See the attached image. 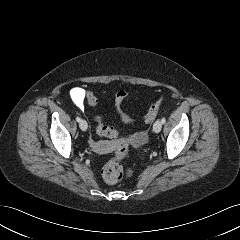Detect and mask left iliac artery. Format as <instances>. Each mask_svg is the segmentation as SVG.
Masks as SVG:
<instances>
[{"instance_id": "44dca946", "label": "left iliac artery", "mask_w": 240, "mask_h": 240, "mask_svg": "<svg viewBox=\"0 0 240 240\" xmlns=\"http://www.w3.org/2000/svg\"><path fill=\"white\" fill-rule=\"evenodd\" d=\"M161 122H162V124H164L166 122V118H162Z\"/></svg>"}]
</instances>
